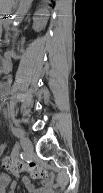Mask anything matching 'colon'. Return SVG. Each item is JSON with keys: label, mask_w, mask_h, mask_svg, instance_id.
<instances>
[{"label": "colon", "mask_w": 103, "mask_h": 193, "mask_svg": "<svg viewBox=\"0 0 103 193\" xmlns=\"http://www.w3.org/2000/svg\"><path fill=\"white\" fill-rule=\"evenodd\" d=\"M3 166L13 173L28 171L34 179H47L49 176V172L45 167L34 162L24 163L13 154L4 158Z\"/></svg>", "instance_id": "1"}]
</instances>
